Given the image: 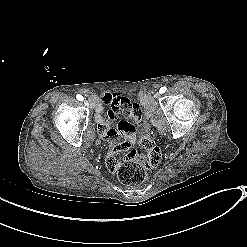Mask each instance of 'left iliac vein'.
Returning a JSON list of instances; mask_svg holds the SVG:
<instances>
[{"mask_svg":"<svg viewBox=\"0 0 247 247\" xmlns=\"http://www.w3.org/2000/svg\"><path fill=\"white\" fill-rule=\"evenodd\" d=\"M159 96H160V93H156L155 95H154V97L157 99V98H159Z\"/></svg>","mask_w":247,"mask_h":247,"instance_id":"1","label":"left iliac vein"}]
</instances>
